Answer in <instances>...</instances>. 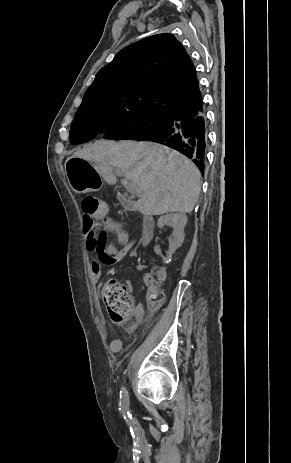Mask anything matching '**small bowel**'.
Instances as JSON below:
<instances>
[{
  "label": "small bowel",
  "instance_id": "obj_1",
  "mask_svg": "<svg viewBox=\"0 0 291 463\" xmlns=\"http://www.w3.org/2000/svg\"><path fill=\"white\" fill-rule=\"evenodd\" d=\"M108 233H112L115 236L116 243L121 245L118 248L116 244H107L106 236ZM84 240L85 248L88 251L94 252L97 256L96 260L92 262L91 276L93 280L99 281L101 278V266H111L119 262L125 256L130 254L132 250L138 245L135 240H130L127 232L124 230L122 225L112 218L103 215L99 219V225L96 229L86 230L84 229ZM146 283L151 284L152 277L146 275L144 277ZM126 287L132 288V281H126ZM150 288H154L151 285ZM134 316L136 323L139 325L143 323L145 319V310L142 304L136 305L134 309ZM122 342L120 339H115L110 345V350L113 353L120 351Z\"/></svg>",
  "mask_w": 291,
  "mask_h": 463
}]
</instances>
